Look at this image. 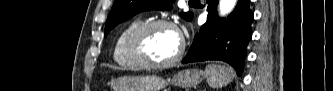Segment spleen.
Wrapping results in <instances>:
<instances>
[{
    "mask_svg": "<svg viewBox=\"0 0 333 91\" xmlns=\"http://www.w3.org/2000/svg\"><path fill=\"white\" fill-rule=\"evenodd\" d=\"M205 75L211 87L221 88L233 80L235 72L233 68L228 66L209 64L206 67Z\"/></svg>",
    "mask_w": 333,
    "mask_h": 91,
    "instance_id": "obj_1",
    "label": "spleen"
}]
</instances>
